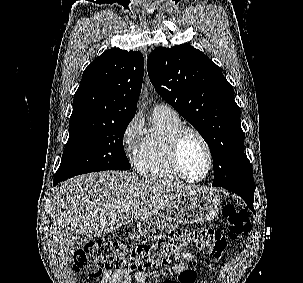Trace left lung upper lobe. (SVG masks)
<instances>
[{
  "mask_svg": "<svg viewBox=\"0 0 303 283\" xmlns=\"http://www.w3.org/2000/svg\"><path fill=\"white\" fill-rule=\"evenodd\" d=\"M147 68L157 93L207 142L213 185L254 187L252 167L243 150L240 108L220 68L189 44L156 48Z\"/></svg>",
  "mask_w": 303,
  "mask_h": 283,
  "instance_id": "obj_1",
  "label": "left lung upper lobe"
}]
</instances>
